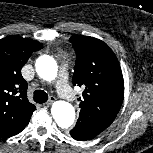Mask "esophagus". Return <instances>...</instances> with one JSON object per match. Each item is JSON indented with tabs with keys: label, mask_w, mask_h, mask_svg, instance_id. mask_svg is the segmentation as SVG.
Segmentation results:
<instances>
[{
	"label": "esophagus",
	"mask_w": 153,
	"mask_h": 153,
	"mask_svg": "<svg viewBox=\"0 0 153 153\" xmlns=\"http://www.w3.org/2000/svg\"><path fill=\"white\" fill-rule=\"evenodd\" d=\"M56 98L54 96H51L50 99L43 104L44 107H49L53 102H55Z\"/></svg>",
	"instance_id": "34e87169"
}]
</instances>
